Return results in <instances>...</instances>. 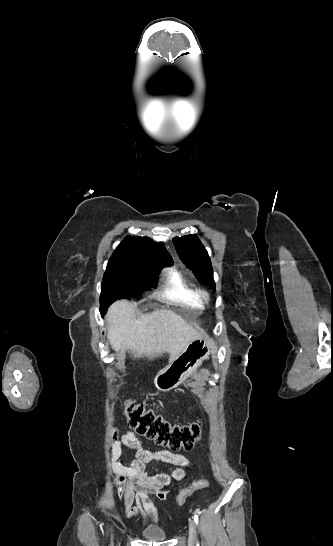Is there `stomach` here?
Here are the masks:
<instances>
[{
	"instance_id": "1",
	"label": "stomach",
	"mask_w": 333,
	"mask_h": 546,
	"mask_svg": "<svg viewBox=\"0 0 333 546\" xmlns=\"http://www.w3.org/2000/svg\"><path fill=\"white\" fill-rule=\"evenodd\" d=\"M210 353L211 344L208 339L200 337L191 341L176 358L157 373L154 379L155 386L161 391L177 387L209 358Z\"/></svg>"
}]
</instances>
